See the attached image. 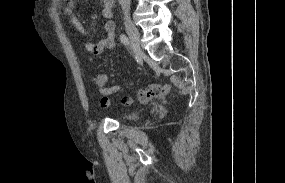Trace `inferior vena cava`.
<instances>
[{
  "label": "inferior vena cava",
  "instance_id": "obj_1",
  "mask_svg": "<svg viewBox=\"0 0 285 183\" xmlns=\"http://www.w3.org/2000/svg\"><path fill=\"white\" fill-rule=\"evenodd\" d=\"M119 4L121 5L124 14L128 15L130 9V0H119Z\"/></svg>",
  "mask_w": 285,
  "mask_h": 183
}]
</instances>
